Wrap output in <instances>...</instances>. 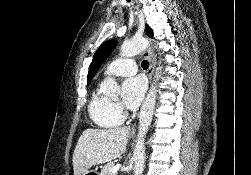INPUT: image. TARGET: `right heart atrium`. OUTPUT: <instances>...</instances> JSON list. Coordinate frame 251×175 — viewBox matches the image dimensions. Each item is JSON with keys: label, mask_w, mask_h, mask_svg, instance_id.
Wrapping results in <instances>:
<instances>
[{"label": "right heart atrium", "mask_w": 251, "mask_h": 175, "mask_svg": "<svg viewBox=\"0 0 251 175\" xmlns=\"http://www.w3.org/2000/svg\"><path fill=\"white\" fill-rule=\"evenodd\" d=\"M113 109H114L115 115H116L120 120L124 119L125 114H124V111H123V109H122L121 106L115 105V106H113Z\"/></svg>", "instance_id": "right-heart-atrium-1"}]
</instances>
